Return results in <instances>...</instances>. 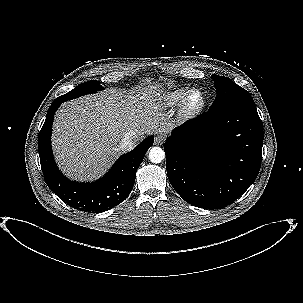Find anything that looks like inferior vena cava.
<instances>
[{
    "instance_id": "obj_1",
    "label": "inferior vena cava",
    "mask_w": 303,
    "mask_h": 303,
    "mask_svg": "<svg viewBox=\"0 0 303 303\" xmlns=\"http://www.w3.org/2000/svg\"><path fill=\"white\" fill-rule=\"evenodd\" d=\"M136 141H137L136 134L134 132H129L122 139V141L120 143V149L123 152L132 150L136 145Z\"/></svg>"
}]
</instances>
